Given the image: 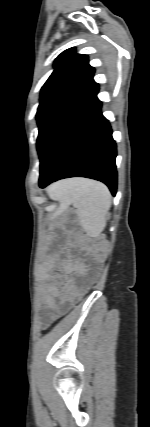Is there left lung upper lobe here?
<instances>
[{"mask_svg":"<svg viewBox=\"0 0 150 427\" xmlns=\"http://www.w3.org/2000/svg\"><path fill=\"white\" fill-rule=\"evenodd\" d=\"M74 48L62 52L54 61V71L43 85L36 114L38 126L64 109L93 83L94 68L87 55Z\"/></svg>","mask_w":150,"mask_h":427,"instance_id":"1","label":"left lung upper lobe"}]
</instances>
